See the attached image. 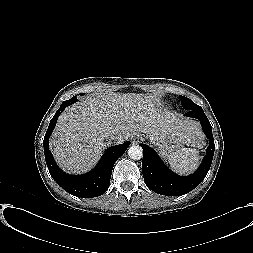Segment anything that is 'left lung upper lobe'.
Instances as JSON below:
<instances>
[{
	"instance_id": "5c2ea615",
	"label": "left lung upper lobe",
	"mask_w": 253,
	"mask_h": 253,
	"mask_svg": "<svg viewBox=\"0 0 253 253\" xmlns=\"http://www.w3.org/2000/svg\"><path fill=\"white\" fill-rule=\"evenodd\" d=\"M181 98V104L182 106L186 109L189 110L191 108H196V107H200L199 105H196L192 100H190L187 97L184 96H180Z\"/></svg>"
}]
</instances>
